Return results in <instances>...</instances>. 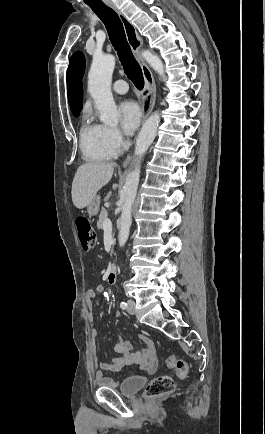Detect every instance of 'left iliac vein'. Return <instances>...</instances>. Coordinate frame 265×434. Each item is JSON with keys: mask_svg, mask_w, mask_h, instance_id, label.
Returning <instances> with one entry per match:
<instances>
[{"mask_svg": "<svg viewBox=\"0 0 265 434\" xmlns=\"http://www.w3.org/2000/svg\"><path fill=\"white\" fill-rule=\"evenodd\" d=\"M127 311L130 314H134L135 313L136 309H135V301L134 300H128Z\"/></svg>", "mask_w": 265, "mask_h": 434, "instance_id": "obj_1", "label": "left iliac vein"}]
</instances>
